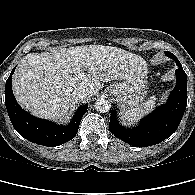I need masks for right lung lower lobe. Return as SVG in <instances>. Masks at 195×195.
<instances>
[{"mask_svg": "<svg viewBox=\"0 0 195 195\" xmlns=\"http://www.w3.org/2000/svg\"><path fill=\"white\" fill-rule=\"evenodd\" d=\"M14 70L15 67L6 81L5 103L9 118L15 130L27 140L48 147L59 146L74 138L88 105L80 106L72 121L66 126L57 125L51 121L34 117L19 106L13 95L11 77Z\"/></svg>", "mask_w": 195, "mask_h": 195, "instance_id": "98d812e1", "label": "right lung lower lobe"}]
</instances>
